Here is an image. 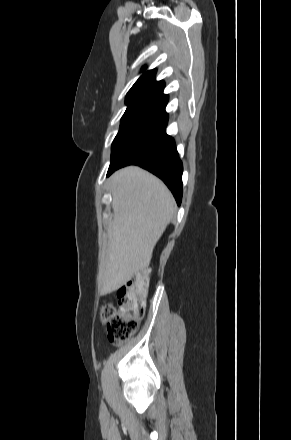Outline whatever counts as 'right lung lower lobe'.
<instances>
[{"label": "right lung lower lobe", "instance_id": "obj_1", "mask_svg": "<svg viewBox=\"0 0 291 440\" xmlns=\"http://www.w3.org/2000/svg\"><path fill=\"white\" fill-rule=\"evenodd\" d=\"M167 102L168 95H162L152 103L110 162L107 176L121 167L138 165L161 178L180 205L183 166L173 138L165 132Z\"/></svg>", "mask_w": 291, "mask_h": 440}]
</instances>
